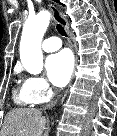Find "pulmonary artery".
I'll use <instances>...</instances> for the list:
<instances>
[{
    "label": "pulmonary artery",
    "instance_id": "1",
    "mask_svg": "<svg viewBox=\"0 0 117 136\" xmlns=\"http://www.w3.org/2000/svg\"><path fill=\"white\" fill-rule=\"evenodd\" d=\"M62 46V41L58 37H49L42 43V49L46 52H53Z\"/></svg>",
    "mask_w": 117,
    "mask_h": 136
}]
</instances>
